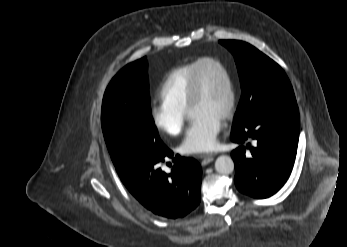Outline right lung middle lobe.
Segmentation results:
<instances>
[{
	"label": "right lung middle lobe",
	"instance_id": "right-lung-middle-lobe-1",
	"mask_svg": "<svg viewBox=\"0 0 347 247\" xmlns=\"http://www.w3.org/2000/svg\"><path fill=\"white\" fill-rule=\"evenodd\" d=\"M146 57L126 65L108 85L101 124L113 163L140 150L159 154L161 141L151 115Z\"/></svg>",
	"mask_w": 347,
	"mask_h": 247
}]
</instances>
